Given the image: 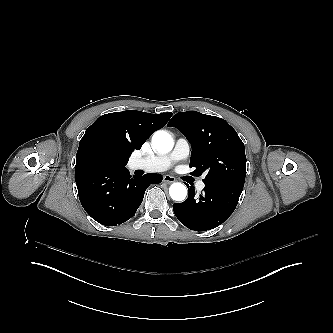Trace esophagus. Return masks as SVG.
I'll list each match as a JSON object with an SVG mask.
<instances>
[{"mask_svg": "<svg viewBox=\"0 0 333 333\" xmlns=\"http://www.w3.org/2000/svg\"><path fill=\"white\" fill-rule=\"evenodd\" d=\"M163 181L166 182V183H173L176 181V178L175 177H172L170 175H165L163 177Z\"/></svg>", "mask_w": 333, "mask_h": 333, "instance_id": "34e87169", "label": "esophagus"}]
</instances>
